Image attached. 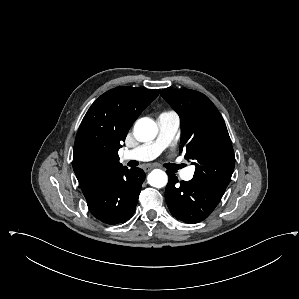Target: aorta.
<instances>
[{"mask_svg":"<svg viewBox=\"0 0 299 299\" xmlns=\"http://www.w3.org/2000/svg\"><path fill=\"white\" fill-rule=\"evenodd\" d=\"M158 129L156 123L149 118L139 119L134 126V136L138 141L146 142L153 140L157 135ZM149 185L156 188H162L167 184V174L154 169L147 177Z\"/></svg>","mask_w":299,"mask_h":299,"instance_id":"1","label":"aorta"}]
</instances>
